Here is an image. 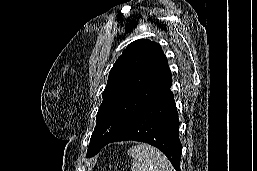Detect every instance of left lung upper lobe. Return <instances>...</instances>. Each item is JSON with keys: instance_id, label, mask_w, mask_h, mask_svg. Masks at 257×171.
<instances>
[{"instance_id": "5c2ea615", "label": "left lung upper lobe", "mask_w": 257, "mask_h": 171, "mask_svg": "<svg viewBox=\"0 0 257 171\" xmlns=\"http://www.w3.org/2000/svg\"><path fill=\"white\" fill-rule=\"evenodd\" d=\"M171 71L159 44L132 42L109 72L87 154L118 135L153 98Z\"/></svg>"}]
</instances>
